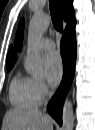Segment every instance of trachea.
Masks as SVG:
<instances>
[{"instance_id":"1","label":"trachea","mask_w":95,"mask_h":130,"mask_svg":"<svg viewBox=\"0 0 95 130\" xmlns=\"http://www.w3.org/2000/svg\"><path fill=\"white\" fill-rule=\"evenodd\" d=\"M49 7L53 26L56 31L61 33L63 31V18L58 0H49Z\"/></svg>"}]
</instances>
